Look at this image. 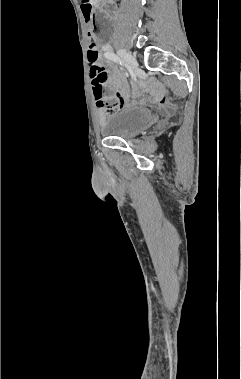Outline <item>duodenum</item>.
Instances as JSON below:
<instances>
[{
  "label": "duodenum",
  "mask_w": 241,
  "mask_h": 379,
  "mask_svg": "<svg viewBox=\"0 0 241 379\" xmlns=\"http://www.w3.org/2000/svg\"><path fill=\"white\" fill-rule=\"evenodd\" d=\"M96 4L106 5L110 0H92ZM84 12V11H83Z\"/></svg>",
  "instance_id": "obj_1"
}]
</instances>
